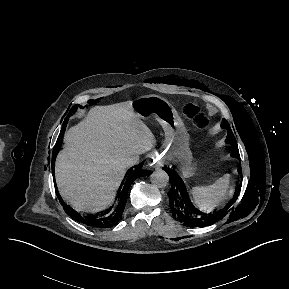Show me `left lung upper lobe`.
Segmentation results:
<instances>
[{
    "label": "left lung upper lobe",
    "mask_w": 289,
    "mask_h": 289,
    "mask_svg": "<svg viewBox=\"0 0 289 289\" xmlns=\"http://www.w3.org/2000/svg\"><path fill=\"white\" fill-rule=\"evenodd\" d=\"M222 128H225L228 130V135H227V139H226V142L231 144L232 147H233V150H232V156L233 157H236L238 159H240V155H239V151H238V146H237V143H236V140H235V137L232 133V130L228 124L227 121H224L223 120V123H222Z\"/></svg>",
    "instance_id": "1"
}]
</instances>
